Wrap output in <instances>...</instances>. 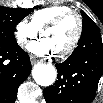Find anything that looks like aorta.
Returning <instances> with one entry per match:
<instances>
[{
    "label": "aorta",
    "instance_id": "obj_1",
    "mask_svg": "<svg viewBox=\"0 0 103 103\" xmlns=\"http://www.w3.org/2000/svg\"><path fill=\"white\" fill-rule=\"evenodd\" d=\"M56 69L52 64H36L32 69L35 82L41 86H50L56 80Z\"/></svg>",
    "mask_w": 103,
    "mask_h": 103
}]
</instances>
